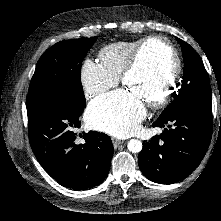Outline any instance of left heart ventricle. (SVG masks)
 <instances>
[{
	"mask_svg": "<svg viewBox=\"0 0 221 221\" xmlns=\"http://www.w3.org/2000/svg\"><path fill=\"white\" fill-rule=\"evenodd\" d=\"M173 61L167 46L153 42L139 57L136 69L128 76L125 87L138 96L144 104L154 101L167 87Z\"/></svg>",
	"mask_w": 221,
	"mask_h": 221,
	"instance_id": "left-heart-ventricle-1",
	"label": "left heart ventricle"
}]
</instances>
